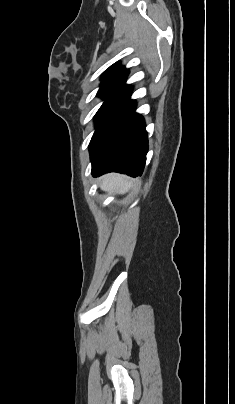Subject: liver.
I'll use <instances>...</instances> for the list:
<instances>
[{"mask_svg": "<svg viewBox=\"0 0 235 404\" xmlns=\"http://www.w3.org/2000/svg\"><path fill=\"white\" fill-rule=\"evenodd\" d=\"M133 182V179L113 173L102 177L100 188L109 193L125 194L129 191Z\"/></svg>", "mask_w": 235, "mask_h": 404, "instance_id": "6515ba94", "label": "liver"}]
</instances>
